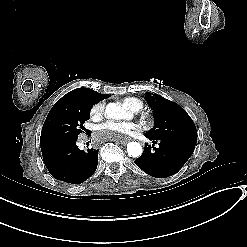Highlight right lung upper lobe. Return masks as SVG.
<instances>
[{"label": "right lung upper lobe", "mask_w": 247, "mask_h": 247, "mask_svg": "<svg viewBox=\"0 0 247 247\" xmlns=\"http://www.w3.org/2000/svg\"><path fill=\"white\" fill-rule=\"evenodd\" d=\"M74 94L85 96L92 105L110 96L109 94H100L90 88H77L69 92V95Z\"/></svg>", "instance_id": "cb5924a9"}]
</instances>
